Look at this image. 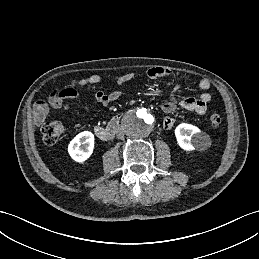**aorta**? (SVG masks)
<instances>
[{
	"label": "aorta",
	"mask_w": 259,
	"mask_h": 259,
	"mask_svg": "<svg viewBox=\"0 0 259 259\" xmlns=\"http://www.w3.org/2000/svg\"><path fill=\"white\" fill-rule=\"evenodd\" d=\"M123 128L128 137L142 139L147 137L155 125L152 112L146 108L136 109L123 119Z\"/></svg>",
	"instance_id": "762f6f07"
}]
</instances>
